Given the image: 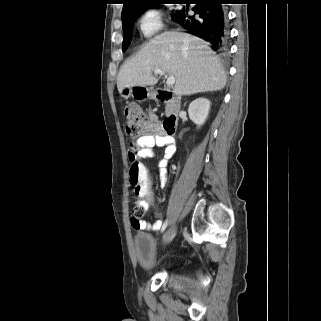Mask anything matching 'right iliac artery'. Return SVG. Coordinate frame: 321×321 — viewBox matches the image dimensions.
<instances>
[{
	"label": "right iliac artery",
	"instance_id": "1",
	"mask_svg": "<svg viewBox=\"0 0 321 321\" xmlns=\"http://www.w3.org/2000/svg\"><path fill=\"white\" fill-rule=\"evenodd\" d=\"M167 226H168V220L164 222L161 231L163 232L167 228Z\"/></svg>",
	"mask_w": 321,
	"mask_h": 321
}]
</instances>
